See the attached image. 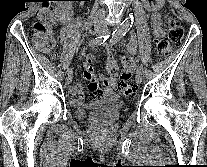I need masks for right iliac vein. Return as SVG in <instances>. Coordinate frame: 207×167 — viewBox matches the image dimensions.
Returning <instances> with one entry per match:
<instances>
[{
    "label": "right iliac vein",
    "mask_w": 207,
    "mask_h": 167,
    "mask_svg": "<svg viewBox=\"0 0 207 167\" xmlns=\"http://www.w3.org/2000/svg\"><path fill=\"white\" fill-rule=\"evenodd\" d=\"M96 33H99V30L95 31ZM72 72L68 73L67 77H66V84H70L72 81Z\"/></svg>",
    "instance_id": "obj_1"
}]
</instances>
